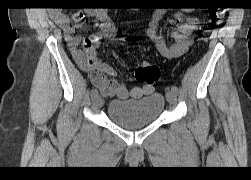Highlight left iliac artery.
<instances>
[{"label": "left iliac artery", "mask_w": 251, "mask_h": 180, "mask_svg": "<svg viewBox=\"0 0 251 180\" xmlns=\"http://www.w3.org/2000/svg\"><path fill=\"white\" fill-rule=\"evenodd\" d=\"M171 90H172L173 92L177 93V92H178V87H177V86H172V87H171Z\"/></svg>", "instance_id": "1"}]
</instances>
